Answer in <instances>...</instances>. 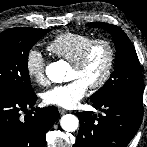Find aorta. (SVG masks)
Wrapping results in <instances>:
<instances>
[{
  "instance_id": "762f6f07",
  "label": "aorta",
  "mask_w": 147,
  "mask_h": 147,
  "mask_svg": "<svg viewBox=\"0 0 147 147\" xmlns=\"http://www.w3.org/2000/svg\"><path fill=\"white\" fill-rule=\"evenodd\" d=\"M69 64L63 60L52 62L46 66L45 72L49 80L62 83L68 80ZM60 125L67 132H74L79 127V120L75 115L66 114L60 120Z\"/></svg>"
}]
</instances>
